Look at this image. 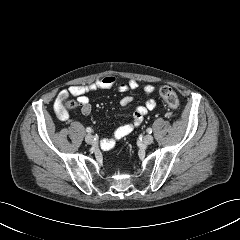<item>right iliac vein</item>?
I'll use <instances>...</instances> for the list:
<instances>
[{
  "mask_svg": "<svg viewBox=\"0 0 240 240\" xmlns=\"http://www.w3.org/2000/svg\"><path fill=\"white\" fill-rule=\"evenodd\" d=\"M85 141L88 144H93L95 140H94V137L91 134H88V135L85 136Z\"/></svg>",
  "mask_w": 240,
  "mask_h": 240,
  "instance_id": "right-iliac-vein-1",
  "label": "right iliac vein"
}]
</instances>
